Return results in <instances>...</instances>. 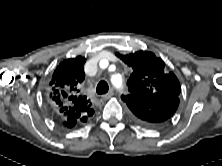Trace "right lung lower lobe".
<instances>
[{
	"mask_svg": "<svg viewBox=\"0 0 222 166\" xmlns=\"http://www.w3.org/2000/svg\"><path fill=\"white\" fill-rule=\"evenodd\" d=\"M64 126L68 127V128H71V127H74L76 125L77 121L75 124L74 123H69L67 120H62Z\"/></svg>",
	"mask_w": 222,
	"mask_h": 166,
	"instance_id": "1",
	"label": "right lung lower lobe"
}]
</instances>
